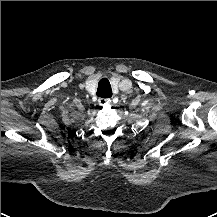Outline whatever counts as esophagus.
Wrapping results in <instances>:
<instances>
[{
  "mask_svg": "<svg viewBox=\"0 0 217 217\" xmlns=\"http://www.w3.org/2000/svg\"><path fill=\"white\" fill-rule=\"evenodd\" d=\"M98 102L101 105H108L112 102V100L110 98H99Z\"/></svg>",
  "mask_w": 217,
  "mask_h": 217,
  "instance_id": "esophagus-1",
  "label": "esophagus"
}]
</instances>
